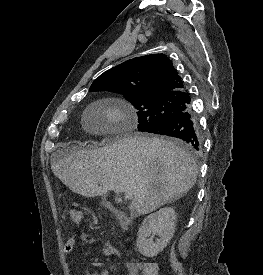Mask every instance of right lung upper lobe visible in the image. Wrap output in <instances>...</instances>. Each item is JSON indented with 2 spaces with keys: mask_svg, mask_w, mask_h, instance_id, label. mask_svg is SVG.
<instances>
[{
  "mask_svg": "<svg viewBox=\"0 0 263 275\" xmlns=\"http://www.w3.org/2000/svg\"><path fill=\"white\" fill-rule=\"evenodd\" d=\"M121 89L134 95H188L172 61L164 54L127 60L101 74L90 89Z\"/></svg>",
  "mask_w": 263,
  "mask_h": 275,
  "instance_id": "1",
  "label": "right lung upper lobe"
}]
</instances>
